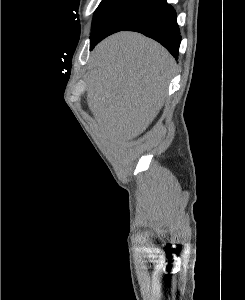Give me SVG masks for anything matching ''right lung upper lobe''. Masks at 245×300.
Listing matches in <instances>:
<instances>
[{
  "label": "right lung upper lobe",
  "mask_w": 245,
  "mask_h": 300,
  "mask_svg": "<svg viewBox=\"0 0 245 300\" xmlns=\"http://www.w3.org/2000/svg\"><path fill=\"white\" fill-rule=\"evenodd\" d=\"M140 1H159V2H161V3L166 2V0H140Z\"/></svg>",
  "instance_id": "right-lung-upper-lobe-1"
}]
</instances>
